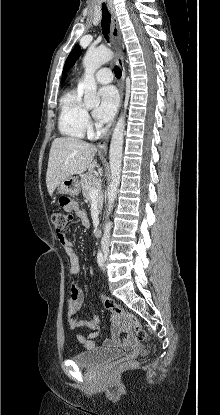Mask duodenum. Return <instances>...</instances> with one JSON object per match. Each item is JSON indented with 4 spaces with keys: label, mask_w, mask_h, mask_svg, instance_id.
<instances>
[{
    "label": "duodenum",
    "mask_w": 220,
    "mask_h": 415,
    "mask_svg": "<svg viewBox=\"0 0 220 415\" xmlns=\"http://www.w3.org/2000/svg\"><path fill=\"white\" fill-rule=\"evenodd\" d=\"M102 233H103V230H102V228L99 226V227H97L96 229H95V231H94V235H95V237H97V238H100L101 236H102Z\"/></svg>",
    "instance_id": "1"
}]
</instances>
